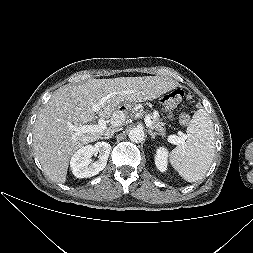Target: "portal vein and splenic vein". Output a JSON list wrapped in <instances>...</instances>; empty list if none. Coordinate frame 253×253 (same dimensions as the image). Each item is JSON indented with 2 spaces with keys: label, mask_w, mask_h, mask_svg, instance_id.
Listing matches in <instances>:
<instances>
[{
  "label": "portal vein and splenic vein",
  "mask_w": 253,
  "mask_h": 253,
  "mask_svg": "<svg viewBox=\"0 0 253 253\" xmlns=\"http://www.w3.org/2000/svg\"><path fill=\"white\" fill-rule=\"evenodd\" d=\"M108 98H109L108 96L104 97L101 99V101L99 103L93 104L92 110L94 112H98L100 107L107 101ZM112 117H113V120L122 119V117L116 113H114ZM145 124L147 127H151L152 122H151V119L149 116L145 117ZM71 128H73V130L76 132L77 135H80L83 133H88V132H100L106 128V120L103 118H100L98 120L97 125H80L78 127L71 126ZM185 139H186V136L181 132L178 133V136L170 135L168 137V141L173 144H179L180 142L184 141Z\"/></svg>",
  "instance_id": "portal-vein-and-splenic-vein-1"
}]
</instances>
